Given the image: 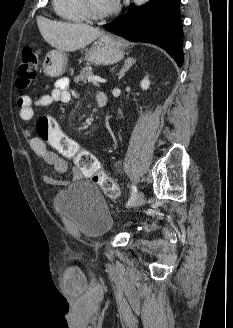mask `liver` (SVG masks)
Here are the masks:
<instances>
[{
  "label": "liver",
  "instance_id": "6515ba94",
  "mask_svg": "<svg viewBox=\"0 0 233 328\" xmlns=\"http://www.w3.org/2000/svg\"><path fill=\"white\" fill-rule=\"evenodd\" d=\"M44 40L59 51H76L84 48L103 32L87 24L51 21L40 17L37 20Z\"/></svg>",
  "mask_w": 233,
  "mask_h": 328
}]
</instances>
